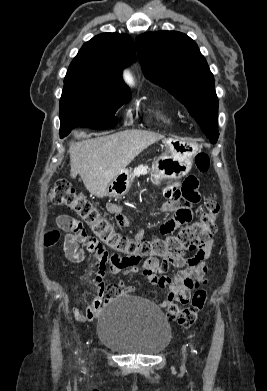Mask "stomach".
<instances>
[{"label":"stomach","instance_id":"stomach-1","mask_svg":"<svg viewBox=\"0 0 267 391\" xmlns=\"http://www.w3.org/2000/svg\"><path fill=\"white\" fill-rule=\"evenodd\" d=\"M199 150L200 147L195 142L172 138L164 140L163 154L153 161V169L156 174H160L153 182L160 184L163 178L178 179L187 175ZM131 180L130 170H122L107 185L105 196H124L129 191Z\"/></svg>","mask_w":267,"mask_h":391}]
</instances>
